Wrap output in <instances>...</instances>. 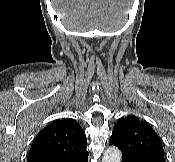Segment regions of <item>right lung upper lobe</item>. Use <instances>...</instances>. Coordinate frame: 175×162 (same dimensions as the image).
Wrapping results in <instances>:
<instances>
[{
	"label": "right lung upper lobe",
	"mask_w": 175,
	"mask_h": 162,
	"mask_svg": "<svg viewBox=\"0 0 175 162\" xmlns=\"http://www.w3.org/2000/svg\"><path fill=\"white\" fill-rule=\"evenodd\" d=\"M85 132L74 119H58L41 130L27 162H81L88 157Z\"/></svg>",
	"instance_id": "right-lung-upper-lobe-1"
}]
</instances>
